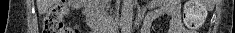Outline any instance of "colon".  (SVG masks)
Segmentation results:
<instances>
[{
	"instance_id": "1",
	"label": "colon",
	"mask_w": 235,
	"mask_h": 33,
	"mask_svg": "<svg viewBox=\"0 0 235 33\" xmlns=\"http://www.w3.org/2000/svg\"><path fill=\"white\" fill-rule=\"evenodd\" d=\"M66 1H59L46 14L43 21V33H79L76 27L66 26L63 18L67 14ZM205 18V9L199 0H188L183 9V20L186 27L196 30Z\"/></svg>"
}]
</instances>
